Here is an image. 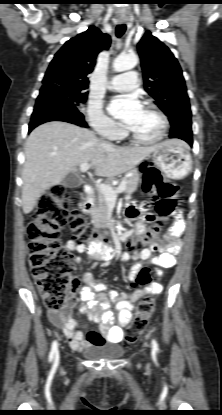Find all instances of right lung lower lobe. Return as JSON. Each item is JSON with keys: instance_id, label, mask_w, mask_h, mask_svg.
<instances>
[{"instance_id": "1", "label": "right lung lower lobe", "mask_w": 222, "mask_h": 415, "mask_svg": "<svg viewBox=\"0 0 222 415\" xmlns=\"http://www.w3.org/2000/svg\"><path fill=\"white\" fill-rule=\"evenodd\" d=\"M49 121H64L88 127L84 116L57 87L41 88L29 125V132L36 126Z\"/></svg>"}]
</instances>
